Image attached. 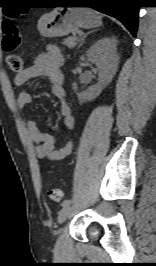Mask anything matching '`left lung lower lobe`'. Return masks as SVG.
Masks as SVG:
<instances>
[{
  "mask_svg": "<svg viewBox=\"0 0 156 266\" xmlns=\"http://www.w3.org/2000/svg\"><path fill=\"white\" fill-rule=\"evenodd\" d=\"M55 3H71L92 7L99 12L115 17L133 36H136L139 13L138 0H69Z\"/></svg>",
  "mask_w": 156,
  "mask_h": 266,
  "instance_id": "0a47b994",
  "label": "left lung lower lobe"
}]
</instances>
